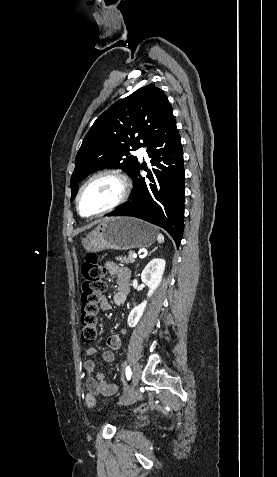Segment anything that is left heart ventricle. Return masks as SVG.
<instances>
[{"label":"left heart ventricle","mask_w":277,"mask_h":477,"mask_svg":"<svg viewBox=\"0 0 277 477\" xmlns=\"http://www.w3.org/2000/svg\"><path fill=\"white\" fill-rule=\"evenodd\" d=\"M120 183L112 177H101L91 182L84 190L80 208L84 214H93L110 206L119 197Z\"/></svg>","instance_id":"1"}]
</instances>
